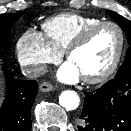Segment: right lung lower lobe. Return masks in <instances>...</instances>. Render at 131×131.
Listing matches in <instances>:
<instances>
[{"label": "right lung lower lobe", "instance_id": "98d812e1", "mask_svg": "<svg viewBox=\"0 0 131 131\" xmlns=\"http://www.w3.org/2000/svg\"><path fill=\"white\" fill-rule=\"evenodd\" d=\"M35 80L6 82V97L0 110V131H31L30 110L37 95Z\"/></svg>", "mask_w": 131, "mask_h": 131}]
</instances>
